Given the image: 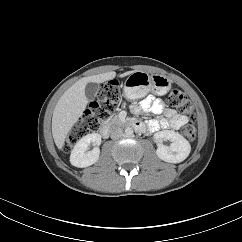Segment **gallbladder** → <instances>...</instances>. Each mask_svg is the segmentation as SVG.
Instances as JSON below:
<instances>
[{
    "instance_id": "gallbladder-1",
    "label": "gallbladder",
    "mask_w": 242,
    "mask_h": 242,
    "mask_svg": "<svg viewBox=\"0 0 242 242\" xmlns=\"http://www.w3.org/2000/svg\"><path fill=\"white\" fill-rule=\"evenodd\" d=\"M99 91V86L96 83H88L85 87L86 96L92 100L96 97Z\"/></svg>"
}]
</instances>
